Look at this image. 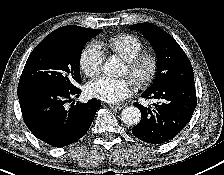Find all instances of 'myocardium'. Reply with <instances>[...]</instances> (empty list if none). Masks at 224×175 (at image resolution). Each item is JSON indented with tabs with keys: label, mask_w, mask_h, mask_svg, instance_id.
Masks as SVG:
<instances>
[{
	"label": "myocardium",
	"mask_w": 224,
	"mask_h": 175,
	"mask_svg": "<svg viewBox=\"0 0 224 175\" xmlns=\"http://www.w3.org/2000/svg\"><path fill=\"white\" fill-rule=\"evenodd\" d=\"M125 66L128 70V76L134 83L140 88H145L154 81L159 62L155 54L141 52L133 59L126 61Z\"/></svg>",
	"instance_id": "obj_1"
}]
</instances>
